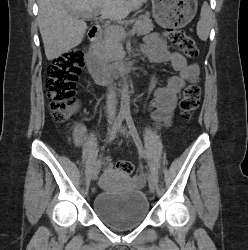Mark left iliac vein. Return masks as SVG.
Masks as SVG:
<instances>
[{"mask_svg": "<svg viewBox=\"0 0 248 250\" xmlns=\"http://www.w3.org/2000/svg\"><path fill=\"white\" fill-rule=\"evenodd\" d=\"M119 133L124 135V136H128L129 135V132L127 130V128L125 126H122L119 130ZM148 185H149V188L152 192L155 191V188H156V178L153 174L149 173L148 174Z\"/></svg>", "mask_w": 248, "mask_h": 250, "instance_id": "4c4485c4", "label": "left iliac vein"}]
</instances>
